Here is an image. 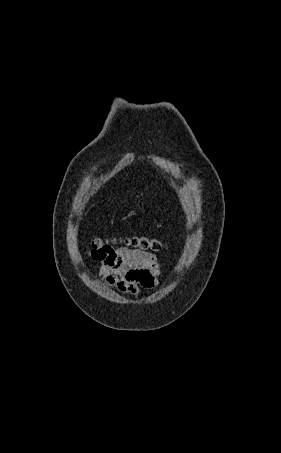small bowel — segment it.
<instances>
[{
  "mask_svg": "<svg viewBox=\"0 0 281 453\" xmlns=\"http://www.w3.org/2000/svg\"><path fill=\"white\" fill-rule=\"evenodd\" d=\"M102 264L95 269L101 281L126 295L154 289L162 281V268L155 254L117 247L102 251Z\"/></svg>",
  "mask_w": 281,
  "mask_h": 453,
  "instance_id": "obj_1",
  "label": "small bowel"
}]
</instances>
